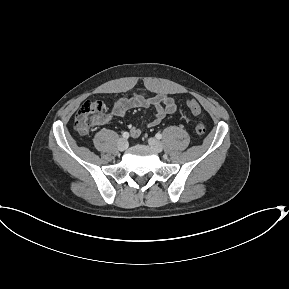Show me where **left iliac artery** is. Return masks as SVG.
<instances>
[{
  "instance_id": "obj_1",
  "label": "left iliac artery",
  "mask_w": 289,
  "mask_h": 289,
  "mask_svg": "<svg viewBox=\"0 0 289 289\" xmlns=\"http://www.w3.org/2000/svg\"><path fill=\"white\" fill-rule=\"evenodd\" d=\"M156 138H157V139H161V138H162V135H161L160 133H157V134H156Z\"/></svg>"
}]
</instances>
